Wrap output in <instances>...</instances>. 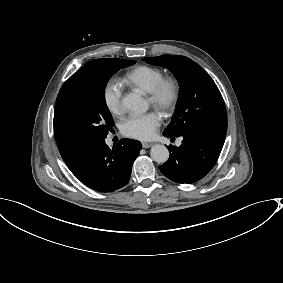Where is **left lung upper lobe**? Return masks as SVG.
<instances>
[{"mask_svg":"<svg viewBox=\"0 0 283 283\" xmlns=\"http://www.w3.org/2000/svg\"><path fill=\"white\" fill-rule=\"evenodd\" d=\"M150 64L171 70L180 84L179 98L165 136L184 133L223 134L227 115L222 95L209 74L184 56L162 55L144 58Z\"/></svg>","mask_w":283,"mask_h":283,"instance_id":"obj_1","label":"left lung upper lobe"}]
</instances>
